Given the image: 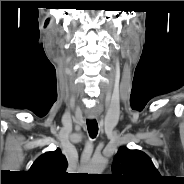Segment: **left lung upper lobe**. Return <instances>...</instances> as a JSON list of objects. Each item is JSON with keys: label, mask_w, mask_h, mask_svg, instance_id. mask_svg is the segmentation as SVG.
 Here are the masks:
<instances>
[{"label": "left lung upper lobe", "mask_w": 184, "mask_h": 184, "mask_svg": "<svg viewBox=\"0 0 184 184\" xmlns=\"http://www.w3.org/2000/svg\"><path fill=\"white\" fill-rule=\"evenodd\" d=\"M112 180L117 184H158L160 174L142 151L121 147L114 157Z\"/></svg>", "instance_id": "obj_1"}]
</instances>
